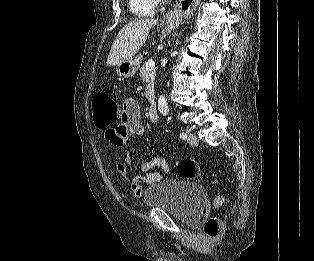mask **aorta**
I'll use <instances>...</instances> for the list:
<instances>
[{
  "label": "aorta",
  "mask_w": 314,
  "mask_h": 261,
  "mask_svg": "<svg viewBox=\"0 0 314 261\" xmlns=\"http://www.w3.org/2000/svg\"><path fill=\"white\" fill-rule=\"evenodd\" d=\"M176 54L177 51L174 52V55ZM158 109L162 115L166 116L168 114V103L164 95H160L158 98Z\"/></svg>",
  "instance_id": "aorta-1"
}]
</instances>
